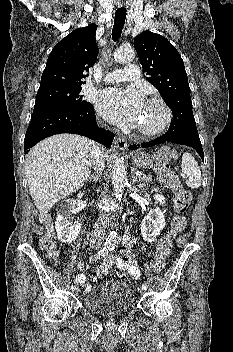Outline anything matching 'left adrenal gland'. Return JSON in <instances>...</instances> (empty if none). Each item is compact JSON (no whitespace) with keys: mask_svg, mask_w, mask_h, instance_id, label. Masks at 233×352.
I'll use <instances>...</instances> for the list:
<instances>
[{"mask_svg":"<svg viewBox=\"0 0 233 352\" xmlns=\"http://www.w3.org/2000/svg\"><path fill=\"white\" fill-rule=\"evenodd\" d=\"M140 181L137 180V177L135 176L134 173H132V184L135 185L136 183H139ZM141 185V183H140ZM142 186V185H141ZM140 187V186H139Z\"/></svg>","mask_w":233,"mask_h":352,"instance_id":"a2214340","label":"left adrenal gland"}]
</instances>
